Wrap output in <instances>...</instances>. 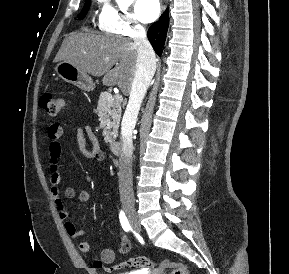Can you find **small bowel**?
<instances>
[{"instance_id":"1","label":"small bowel","mask_w":289,"mask_h":274,"mask_svg":"<svg viewBox=\"0 0 289 274\" xmlns=\"http://www.w3.org/2000/svg\"><path fill=\"white\" fill-rule=\"evenodd\" d=\"M72 123H52L47 131V138L49 140L48 148V175L51 183V195L53 202L55 204L57 213L62 220H66L69 217L68 210L65 206L64 199H70L78 197L81 202H88L90 200V193L81 189L77 191L75 188L68 186L65 188L60 187L61 183V172L59 167V159L62 153L61 138L65 130L70 127ZM76 132L78 137L82 138L84 134L87 135L92 143V148L85 151V154L97 160L104 159V153L101 151L97 138L90 126H85L84 128L77 126ZM65 229L69 236L73 238L80 237L85 234V230L78 229L73 222L67 221L65 223ZM78 248L82 253H88L91 249L90 243L86 240L81 241L78 244ZM131 249L130 239L122 234L121 242L118 247V253L126 254ZM116 259V251L111 248H105L102 250L100 255V260L104 264H112Z\"/></svg>"}]
</instances>
